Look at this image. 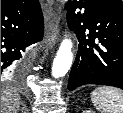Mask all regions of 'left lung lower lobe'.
Wrapping results in <instances>:
<instances>
[{"label":"left lung lower lobe","mask_w":123,"mask_h":113,"mask_svg":"<svg viewBox=\"0 0 123 113\" xmlns=\"http://www.w3.org/2000/svg\"><path fill=\"white\" fill-rule=\"evenodd\" d=\"M66 8L69 28L79 41L68 89L86 84L123 89L121 0H71Z\"/></svg>","instance_id":"0a47b994"}]
</instances>
